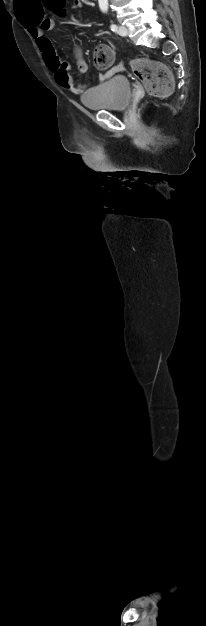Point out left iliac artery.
I'll return each instance as SVG.
<instances>
[{"instance_id": "44dca946", "label": "left iliac artery", "mask_w": 206, "mask_h": 626, "mask_svg": "<svg viewBox=\"0 0 206 626\" xmlns=\"http://www.w3.org/2000/svg\"><path fill=\"white\" fill-rule=\"evenodd\" d=\"M110 29H111L113 32H116V31H117V25H116V24H112V25L110 26Z\"/></svg>"}]
</instances>
